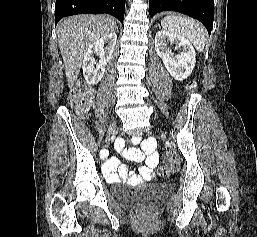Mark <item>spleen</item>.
I'll return each instance as SVG.
<instances>
[{
    "label": "spleen",
    "instance_id": "obj_1",
    "mask_svg": "<svg viewBox=\"0 0 257 237\" xmlns=\"http://www.w3.org/2000/svg\"><path fill=\"white\" fill-rule=\"evenodd\" d=\"M161 25L165 31L187 39L198 51L204 49L205 31L198 22L182 16H167Z\"/></svg>",
    "mask_w": 257,
    "mask_h": 237
}]
</instances>
